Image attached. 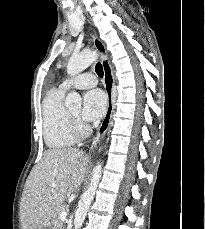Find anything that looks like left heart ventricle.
I'll use <instances>...</instances> for the list:
<instances>
[{
  "label": "left heart ventricle",
  "mask_w": 205,
  "mask_h": 229,
  "mask_svg": "<svg viewBox=\"0 0 205 229\" xmlns=\"http://www.w3.org/2000/svg\"><path fill=\"white\" fill-rule=\"evenodd\" d=\"M71 113L75 116H78L79 117V114H80V108H75V109H72L71 110Z\"/></svg>",
  "instance_id": "1"
}]
</instances>
